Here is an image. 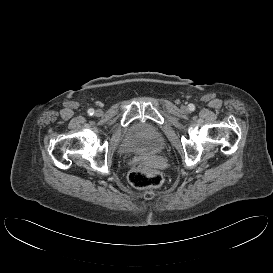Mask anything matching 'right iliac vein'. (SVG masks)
I'll list each match as a JSON object with an SVG mask.
<instances>
[{"instance_id":"1","label":"right iliac vein","mask_w":273,"mask_h":273,"mask_svg":"<svg viewBox=\"0 0 273 273\" xmlns=\"http://www.w3.org/2000/svg\"><path fill=\"white\" fill-rule=\"evenodd\" d=\"M96 114L100 116V115H102V111L101 110H97Z\"/></svg>"}]
</instances>
